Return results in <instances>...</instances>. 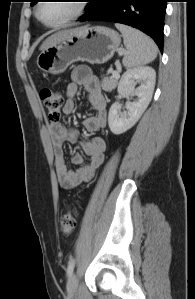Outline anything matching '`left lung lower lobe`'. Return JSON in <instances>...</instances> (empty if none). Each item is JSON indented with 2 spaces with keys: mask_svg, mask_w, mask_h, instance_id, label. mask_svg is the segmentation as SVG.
<instances>
[{
  "mask_svg": "<svg viewBox=\"0 0 195 299\" xmlns=\"http://www.w3.org/2000/svg\"><path fill=\"white\" fill-rule=\"evenodd\" d=\"M167 0H90L79 21L125 24L149 35L163 51V28Z\"/></svg>",
  "mask_w": 195,
  "mask_h": 299,
  "instance_id": "obj_1",
  "label": "left lung lower lobe"
}]
</instances>
